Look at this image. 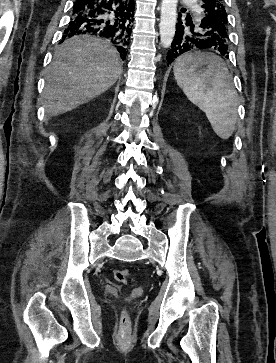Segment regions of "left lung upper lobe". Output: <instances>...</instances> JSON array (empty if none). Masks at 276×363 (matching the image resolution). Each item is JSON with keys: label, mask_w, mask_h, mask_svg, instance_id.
Returning a JSON list of instances; mask_svg holds the SVG:
<instances>
[{"label": "left lung upper lobe", "mask_w": 276, "mask_h": 363, "mask_svg": "<svg viewBox=\"0 0 276 363\" xmlns=\"http://www.w3.org/2000/svg\"><path fill=\"white\" fill-rule=\"evenodd\" d=\"M203 17L209 16L219 27V35L228 44V19L223 0H201Z\"/></svg>", "instance_id": "1"}]
</instances>
